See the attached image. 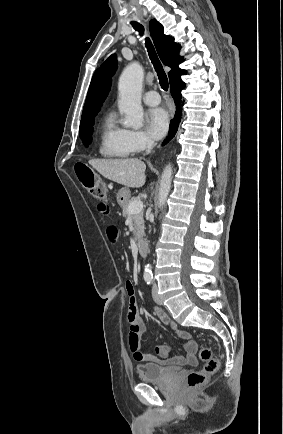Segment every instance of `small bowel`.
Instances as JSON below:
<instances>
[{"label": "small bowel", "instance_id": "obj_1", "mask_svg": "<svg viewBox=\"0 0 283 434\" xmlns=\"http://www.w3.org/2000/svg\"><path fill=\"white\" fill-rule=\"evenodd\" d=\"M97 210L101 215L107 216L110 213V207L106 202H100L97 205ZM107 238L111 242H116L118 239V231L116 227L110 226L107 228ZM126 291L129 297L128 302V315L127 320L129 324V346L132 356L137 362H151L160 366H183V365H196L197 359L195 356L197 345L188 331L181 330L177 324L170 319L165 311L160 308H154L153 313L165 325L169 326L177 336L183 340L185 355L167 357L169 347L167 345H159L155 351L157 356L146 354L142 351L140 346L141 338L146 333V327L140 317L137 299L135 296V289L132 282L126 283ZM142 365H139V369Z\"/></svg>", "mask_w": 283, "mask_h": 434}]
</instances>
